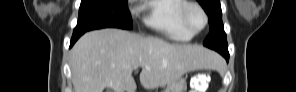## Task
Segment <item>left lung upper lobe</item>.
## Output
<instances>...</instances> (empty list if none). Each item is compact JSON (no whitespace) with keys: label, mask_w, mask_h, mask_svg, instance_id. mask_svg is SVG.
<instances>
[{"label":"left lung upper lobe","mask_w":296,"mask_h":92,"mask_svg":"<svg viewBox=\"0 0 296 92\" xmlns=\"http://www.w3.org/2000/svg\"><path fill=\"white\" fill-rule=\"evenodd\" d=\"M208 15L210 31L204 45L216 51H228L226 34L222 23V11L219 0H197Z\"/></svg>","instance_id":"1"}]
</instances>
